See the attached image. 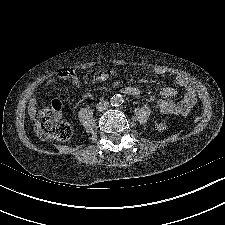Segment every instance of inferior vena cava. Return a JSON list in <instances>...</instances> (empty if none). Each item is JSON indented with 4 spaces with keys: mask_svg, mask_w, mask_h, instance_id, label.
Here are the masks:
<instances>
[{
    "mask_svg": "<svg viewBox=\"0 0 225 225\" xmlns=\"http://www.w3.org/2000/svg\"><path fill=\"white\" fill-rule=\"evenodd\" d=\"M97 110L102 112L108 108V103L106 101H101L96 106Z\"/></svg>",
    "mask_w": 225,
    "mask_h": 225,
    "instance_id": "obj_1",
    "label": "inferior vena cava"
}]
</instances>
